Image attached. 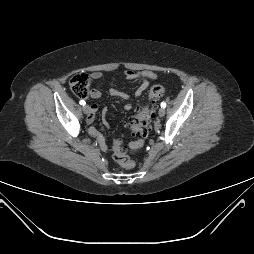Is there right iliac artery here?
<instances>
[{
    "label": "right iliac artery",
    "mask_w": 254,
    "mask_h": 254,
    "mask_svg": "<svg viewBox=\"0 0 254 254\" xmlns=\"http://www.w3.org/2000/svg\"><path fill=\"white\" fill-rule=\"evenodd\" d=\"M81 105H85V101L84 100H81L80 102H79Z\"/></svg>",
    "instance_id": "obj_1"
}]
</instances>
